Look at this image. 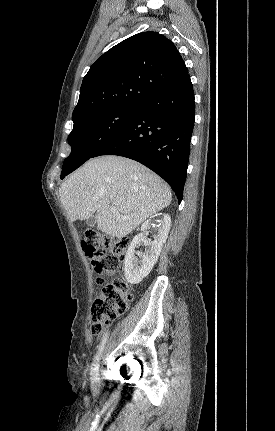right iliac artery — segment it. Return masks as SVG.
<instances>
[{
	"label": "right iliac artery",
	"mask_w": 275,
	"mask_h": 431,
	"mask_svg": "<svg viewBox=\"0 0 275 431\" xmlns=\"http://www.w3.org/2000/svg\"><path fill=\"white\" fill-rule=\"evenodd\" d=\"M107 338H108V332H105L104 335H103V338H102V342H101V344L98 347L97 354L95 355L93 363L91 365V375H92V378L94 380L98 379V375H99V372H98V370H99V360H100V356L102 354V351L104 349V345H105V343L107 341Z\"/></svg>",
	"instance_id": "82829eb1"
}]
</instances>
